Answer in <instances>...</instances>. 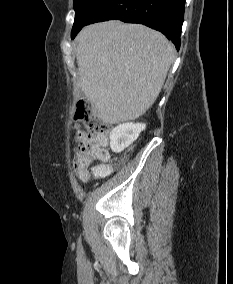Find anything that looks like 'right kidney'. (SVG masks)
<instances>
[{
	"instance_id": "ca27d5eb",
	"label": "right kidney",
	"mask_w": 233,
	"mask_h": 284,
	"mask_svg": "<svg viewBox=\"0 0 233 284\" xmlns=\"http://www.w3.org/2000/svg\"><path fill=\"white\" fill-rule=\"evenodd\" d=\"M143 123H123L115 127L110 134V147L119 153L131 145L145 129Z\"/></svg>"
}]
</instances>
